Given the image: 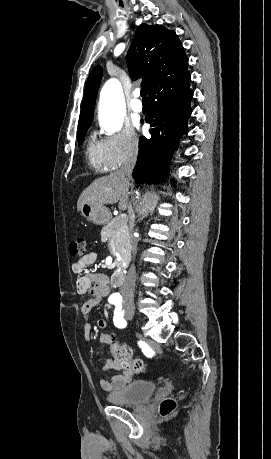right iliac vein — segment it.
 I'll return each instance as SVG.
<instances>
[{
  "mask_svg": "<svg viewBox=\"0 0 271 459\" xmlns=\"http://www.w3.org/2000/svg\"><path fill=\"white\" fill-rule=\"evenodd\" d=\"M128 312H129V314H132V313H133V310H132V309H129Z\"/></svg>",
  "mask_w": 271,
  "mask_h": 459,
  "instance_id": "right-iliac-vein-1",
  "label": "right iliac vein"
}]
</instances>
